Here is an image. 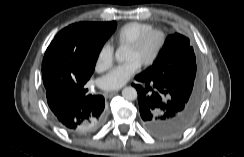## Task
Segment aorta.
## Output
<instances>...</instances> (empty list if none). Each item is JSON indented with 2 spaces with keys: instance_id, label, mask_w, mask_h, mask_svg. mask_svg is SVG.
<instances>
[{
  "instance_id": "obj_1",
  "label": "aorta",
  "mask_w": 244,
  "mask_h": 157,
  "mask_svg": "<svg viewBox=\"0 0 244 157\" xmlns=\"http://www.w3.org/2000/svg\"><path fill=\"white\" fill-rule=\"evenodd\" d=\"M115 57H116L117 61L122 62L125 57V53H124L123 49H121V48L117 49L116 53H115ZM122 96L125 100L133 101L137 98V91L135 88H133L131 86L125 87L122 90Z\"/></svg>"
}]
</instances>
